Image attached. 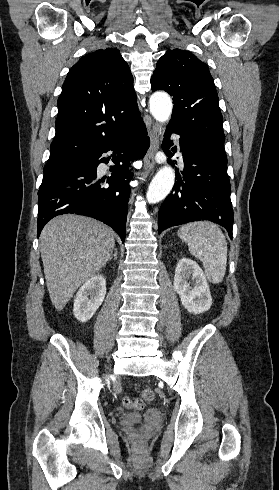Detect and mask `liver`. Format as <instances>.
<instances>
[{
    "label": "liver",
    "instance_id": "6515ba94",
    "mask_svg": "<svg viewBox=\"0 0 279 490\" xmlns=\"http://www.w3.org/2000/svg\"><path fill=\"white\" fill-rule=\"evenodd\" d=\"M114 232L102 222L64 214L40 236V254L50 300L61 312L77 288L104 268L115 248Z\"/></svg>",
    "mask_w": 279,
    "mask_h": 490
}]
</instances>
